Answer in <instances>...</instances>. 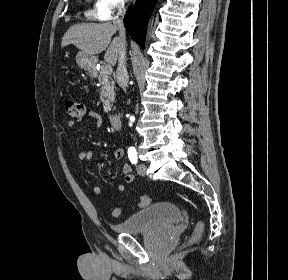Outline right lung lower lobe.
I'll return each mask as SVG.
<instances>
[{
    "label": "right lung lower lobe",
    "instance_id": "obj_1",
    "mask_svg": "<svg viewBox=\"0 0 288 280\" xmlns=\"http://www.w3.org/2000/svg\"><path fill=\"white\" fill-rule=\"evenodd\" d=\"M157 0H137L134 6H130L124 17V26L131 36L142 48H144V36L146 25Z\"/></svg>",
    "mask_w": 288,
    "mask_h": 280
}]
</instances>
